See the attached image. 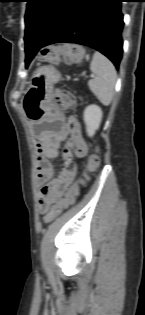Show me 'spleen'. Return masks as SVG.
<instances>
[{"instance_id": "obj_1", "label": "spleen", "mask_w": 145, "mask_h": 315, "mask_svg": "<svg viewBox=\"0 0 145 315\" xmlns=\"http://www.w3.org/2000/svg\"><path fill=\"white\" fill-rule=\"evenodd\" d=\"M90 70L94 74V78L88 82L89 88L103 105L108 106L115 91L117 76L115 67L104 55L95 52Z\"/></svg>"}]
</instances>
